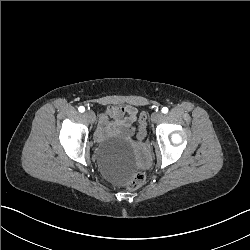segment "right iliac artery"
<instances>
[{
    "instance_id": "right-iliac-artery-1",
    "label": "right iliac artery",
    "mask_w": 250,
    "mask_h": 250,
    "mask_svg": "<svg viewBox=\"0 0 250 250\" xmlns=\"http://www.w3.org/2000/svg\"><path fill=\"white\" fill-rule=\"evenodd\" d=\"M78 110H79V112L83 113V112L85 111V108H84L83 106H80V107L78 108Z\"/></svg>"
}]
</instances>
